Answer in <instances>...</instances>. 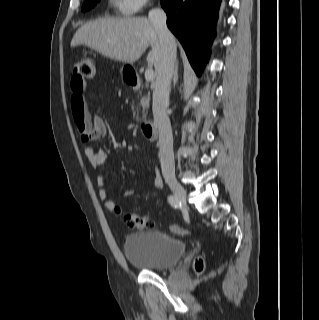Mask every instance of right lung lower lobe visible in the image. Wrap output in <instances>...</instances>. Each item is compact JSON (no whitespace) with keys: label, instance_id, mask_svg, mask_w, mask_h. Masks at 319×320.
I'll return each mask as SVG.
<instances>
[{"label":"right lung lower lobe","instance_id":"right-lung-lower-lobe-1","mask_svg":"<svg viewBox=\"0 0 319 320\" xmlns=\"http://www.w3.org/2000/svg\"><path fill=\"white\" fill-rule=\"evenodd\" d=\"M222 0H160L167 26L181 42L188 59L200 74L209 58Z\"/></svg>","mask_w":319,"mask_h":320}]
</instances>
